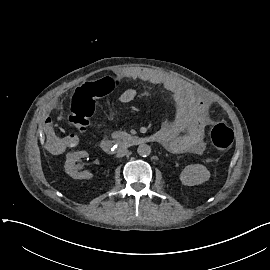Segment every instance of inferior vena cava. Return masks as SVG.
<instances>
[{
  "instance_id": "inferior-vena-cava-1",
  "label": "inferior vena cava",
  "mask_w": 270,
  "mask_h": 270,
  "mask_svg": "<svg viewBox=\"0 0 270 270\" xmlns=\"http://www.w3.org/2000/svg\"><path fill=\"white\" fill-rule=\"evenodd\" d=\"M128 153H129L128 149H120V150H118L116 156L123 157V156L127 155Z\"/></svg>"
}]
</instances>
